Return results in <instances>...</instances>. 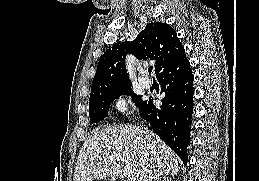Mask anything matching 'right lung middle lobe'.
Here are the masks:
<instances>
[{
	"instance_id": "right-lung-middle-lobe-1",
	"label": "right lung middle lobe",
	"mask_w": 259,
	"mask_h": 181,
	"mask_svg": "<svg viewBox=\"0 0 259 181\" xmlns=\"http://www.w3.org/2000/svg\"><path fill=\"white\" fill-rule=\"evenodd\" d=\"M121 95H130L139 109H141L145 103V101L141 100V96L134 94L131 87L101 93L89 99L90 124L104 120V118L108 116V109L111 102Z\"/></svg>"
}]
</instances>
